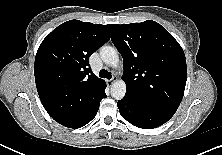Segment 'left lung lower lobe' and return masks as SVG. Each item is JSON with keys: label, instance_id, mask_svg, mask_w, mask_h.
<instances>
[{"label": "left lung lower lobe", "instance_id": "0a47b994", "mask_svg": "<svg viewBox=\"0 0 222 155\" xmlns=\"http://www.w3.org/2000/svg\"><path fill=\"white\" fill-rule=\"evenodd\" d=\"M121 116L132 125L153 129L167 122L174 114L138 104L127 98L117 103Z\"/></svg>", "mask_w": 222, "mask_h": 155}]
</instances>
